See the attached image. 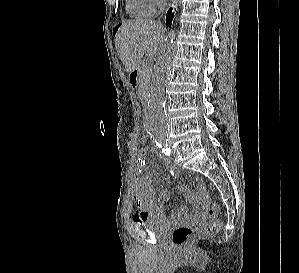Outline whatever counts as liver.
Instances as JSON below:
<instances>
[{
	"label": "liver",
	"mask_w": 299,
	"mask_h": 273,
	"mask_svg": "<svg viewBox=\"0 0 299 273\" xmlns=\"http://www.w3.org/2000/svg\"><path fill=\"white\" fill-rule=\"evenodd\" d=\"M163 38L164 28L156 21L137 19L123 22L115 36V47L126 71H135L144 54L153 57Z\"/></svg>",
	"instance_id": "liver-1"
}]
</instances>
